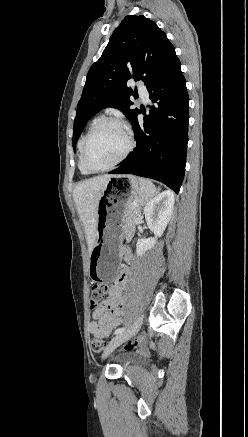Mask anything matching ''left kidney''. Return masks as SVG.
Segmentation results:
<instances>
[{
    "instance_id": "1",
    "label": "left kidney",
    "mask_w": 248,
    "mask_h": 437,
    "mask_svg": "<svg viewBox=\"0 0 248 437\" xmlns=\"http://www.w3.org/2000/svg\"><path fill=\"white\" fill-rule=\"evenodd\" d=\"M174 194L163 191L152 198L144 208L145 219L149 229L154 233V237L138 239L136 244L137 255L142 256L147 250L154 247L157 237H160L173 212Z\"/></svg>"
}]
</instances>
